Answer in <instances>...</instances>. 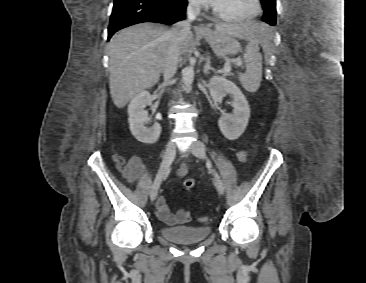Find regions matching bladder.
Instances as JSON below:
<instances>
[{
    "label": "bladder",
    "instance_id": "obj_1",
    "mask_svg": "<svg viewBox=\"0 0 366 283\" xmlns=\"http://www.w3.org/2000/svg\"><path fill=\"white\" fill-rule=\"evenodd\" d=\"M212 232L209 225L167 227L159 226L158 233L170 242L193 244L205 240Z\"/></svg>",
    "mask_w": 366,
    "mask_h": 283
}]
</instances>
